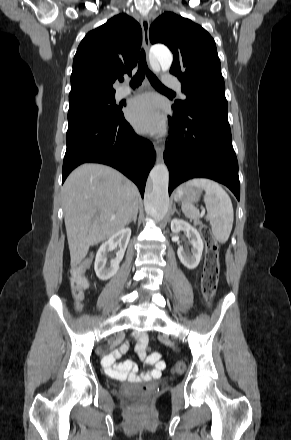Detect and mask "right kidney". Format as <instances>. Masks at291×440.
I'll list each match as a JSON object with an SVG mask.
<instances>
[{
	"mask_svg": "<svg viewBox=\"0 0 291 440\" xmlns=\"http://www.w3.org/2000/svg\"><path fill=\"white\" fill-rule=\"evenodd\" d=\"M131 229L125 228L112 235L105 243H103L97 251L94 269L97 277L101 280H108L114 276L119 270L120 262L124 257L125 250L129 243ZM119 245L120 249L116 253V257L107 263V254Z\"/></svg>",
	"mask_w": 291,
	"mask_h": 440,
	"instance_id": "ca27d5eb",
	"label": "right kidney"
}]
</instances>
